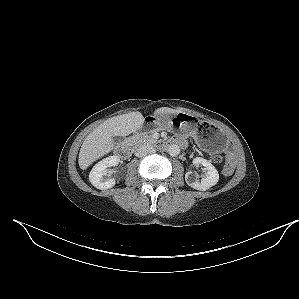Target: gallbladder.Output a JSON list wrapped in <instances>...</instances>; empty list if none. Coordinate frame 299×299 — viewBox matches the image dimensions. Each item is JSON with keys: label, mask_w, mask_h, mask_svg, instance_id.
I'll use <instances>...</instances> for the list:
<instances>
[{"label": "gallbladder", "mask_w": 299, "mask_h": 299, "mask_svg": "<svg viewBox=\"0 0 299 299\" xmlns=\"http://www.w3.org/2000/svg\"><path fill=\"white\" fill-rule=\"evenodd\" d=\"M112 139L114 143H120L123 140L120 136H113Z\"/></svg>", "instance_id": "1"}]
</instances>
